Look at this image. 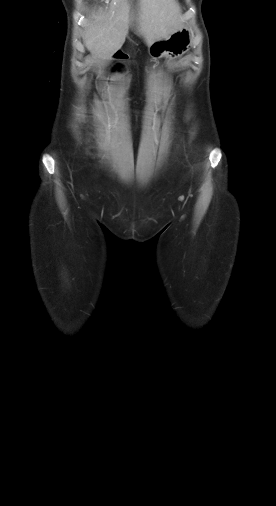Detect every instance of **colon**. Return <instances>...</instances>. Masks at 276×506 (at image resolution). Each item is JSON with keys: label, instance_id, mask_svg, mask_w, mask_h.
Here are the masks:
<instances>
[{"label": "colon", "instance_id": "5ec220e1", "mask_svg": "<svg viewBox=\"0 0 276 506\" xmlns=\"http://www.w3.org/2000/svg\"><path fill=\"white\" fill-rule=\"evenodd\" d=\"M120 53V54H119ZM108 57L113 58L114 60H121L125 57V52L121 49H114L113 51L108 52ZM114 77L118 78L120 77V72L116 71L114 72Z\"/></svg>", "mask_w": 276, "mask_h": 506}]
</instances>
